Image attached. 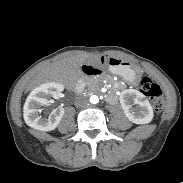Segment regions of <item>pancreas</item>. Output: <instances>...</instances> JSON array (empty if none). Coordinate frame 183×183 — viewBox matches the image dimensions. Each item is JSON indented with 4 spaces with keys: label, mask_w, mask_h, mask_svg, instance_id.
<instances>
[{
    "label": "pancreas",
    "mask_w": 183,
    "mask_h": 183,
    "mask_svg": "<svg viewBox=\"0 0 183 183\" xmlns=\"http://www.w3.org/2000/svg\"><path fill=\"white\" fill-rule=\"evenodd\" d=\"M96 83H97L96 79L91 80V81L88 82L89 85H96Z\"/></svg>",
    "instance_id": "cf45deb5"
}]
</instances>
